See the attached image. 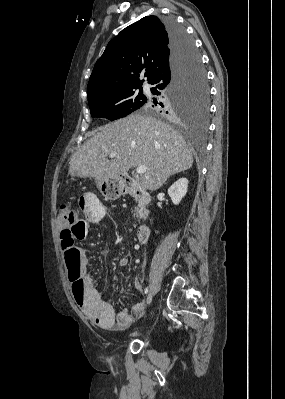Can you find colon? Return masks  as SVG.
I'll return each mask as SVG.
<instances>
[{
  "label": "colon",
  "instance_id": "colon-1",
  "mask_svg": "<svg viewBox=\"0 0 285 399\" xmlns=\"http://www.w3.org/2000/svg\"><path fill=\"white\" fill-rule=\"evenodd\" d=\"M103 194L109 195L107 191H103ZM84 203L85 197H82L77 201L76 206L66 202L59 207V221L63 224L59 233L60 242L64 257L72 266L69 280L76 295L82 294L84 291V283L78 269L79 251L76 247L77 241L82 238L78 222V208H82Z\"/></svg>",
  "mask_w": 285,
  "mask_h": 399
}]
</instances>
